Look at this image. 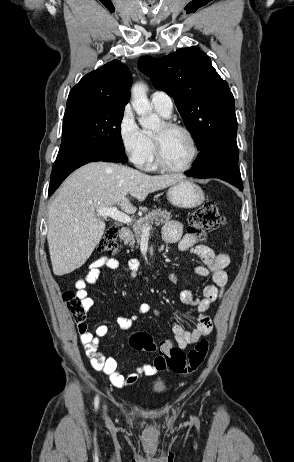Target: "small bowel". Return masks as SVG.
Wrapping results in <instances>:
<instances>
[{
  "instance_id": "1",
  "label": "small bowel",
  "mask_w": 294,
  "mask_h": 462,
  "mask_svg": "<svg viewBox=\"0 0 294 462\" xmlns=\"http://www.w3.org/2000/svg\"><path fill=\"white\" fill-rule=\"evenodd\" d=\"M163 238L168 243H178L181 251H188L197 255L203 265L194 269V274L200 277L211 276L212 282L206 285L202 292V297L194 296L191 289H184L180 293L182 303L195 307L198 316L197 323L191 331L185 329L180 324H175L172 327L175 342L180 349H184L189 345L195 344L201 338L209 335L213 329L212 320L208 315L210 306L219 300L224 292L227 284V273L225 271L229 264V257L225 253H215L208 246L199 243V240L192 235H183V226L178 221H170L163 228ZM120 266L119 261L114 258L102 257L89 266V271L84 278H79L75 283L76 295L82 300L85 311L93 306V300L89 297L87 286L94 284L100 276L101 269H117ZM140 267V261L132 259L124 268L126 274L130 277H135L137 270ZM169 280L177 283L179 278L175 274L168 275ZM158 312L153 310L149 303L142 302L139 305V313L147 314ZM137 316L119 317L117 324L122 329H129L137 321ZM78 333L80 342L82 343L85 354L90 360L91 366L105 375H107L111 383L122 388L134 384L140 376H152L161 371L154 364H142L129 369L128 375L124 376L118 369V363L115 358L106 357L99 351L100 339L108 333L106 325H100L92 333L89 330L88 324L83 322L78 324Z\"/></svg>"
}]
</instances>
